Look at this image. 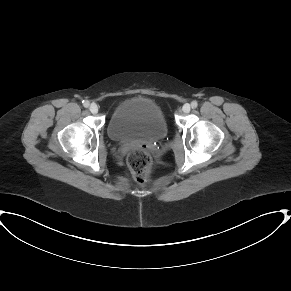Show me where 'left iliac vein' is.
Wrapping results in <instances>:
<instances>
[{
  "label": "left iliac vein",
  "instance_id": "4c4485c4",
  "mask_svg": "<svg viewBox=\"0 0 291 291\" xmlns=\"http://www.w3.org/2000/svg\"><path fill=\"white\" fill-rule=\"evenodd\" d=\"M182 110L184 113H189L190 110H191V107L188 103L184 104L183 107H182Z\"/></svg>",
  "mask_w": 291,
  "mask_h": 291
}]
</instances>
